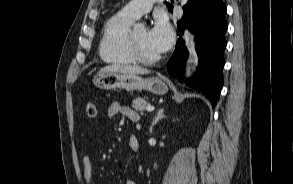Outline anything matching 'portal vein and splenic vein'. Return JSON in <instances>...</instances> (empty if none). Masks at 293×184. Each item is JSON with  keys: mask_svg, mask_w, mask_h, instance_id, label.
Segmentation results:
<instances>
[{"mask_svg": "<svg viewBox=\"0 0 293 184\" xmlns=\"http://www.w3.org/2000/svg\"><path fill=\"white\" fill-rule=\"evenodd\" d=\"M154 106H148L147 108H146V111L147 112H152V111H154Z\"/></svg>", "mask_w": 293, "mask_h": 184, "instance_id": "obj_1", "label": "portal vein and splenic vein"}]
</instances>
